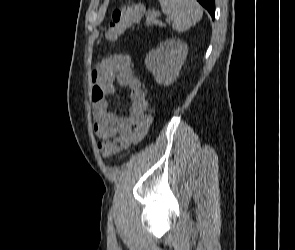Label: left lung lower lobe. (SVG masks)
<instances>
[{
    "label": "left lung lower lobe",
    "instance_id": "left-lung-lower-lobe-1",
    "mask_svg": "<svg viewBox=\"0 0 295 250\" xmlns=\"http://www.w3.org/2000/svg\"><path fill=\"white\" fill-rule=\"evenodd\" d=\"M203 7H205L212 18H214L215 13V2L214 0H197Z\"/></svg>",
    "mask_w": 295,
    "mask_h": 250
}]
</instances>
